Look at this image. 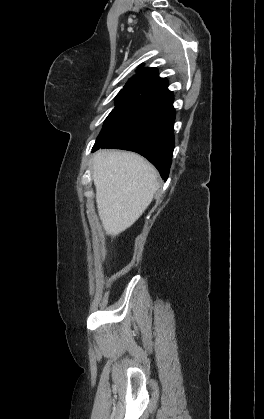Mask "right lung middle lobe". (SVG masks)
Returning a JSON list of instances; mask_svg holds the SVG:
<instances>
[{
    "mask_svg": "<svg viewBox=\"0 0 264 419\" xmlns=\"http://www.w3.org/2000/svg\"><path fill=\"white\" fill-rule=\"evenodd\" d=\"M149 99L146 95L122 89L116 97V106L106 118L94 147L102 146L127 127Z\"/></svg>",
    "mask_w": 264,
    "mask_h": 419,
    "instance_id": "dd1d6c3e",
    "label": "right lung middle lobe"
}]
</instances>
